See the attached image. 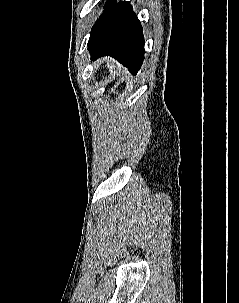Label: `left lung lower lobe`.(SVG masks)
I'll return each mask as SVG.
<instances>
[{"label":"left lung lower lobe","mask_w":239,"mask_h":303,"mask_svg":"<svg viewBox=\"0 0 239 303\" xmlns=\"http://www.w3.org/2000/svg\"><path fill=\"white\" fill-rule=\"evenodd\" d=\"M91 58L112 56L136 74L144 59L142 27L129 2L120 1L102 18L88 41Z\"/></svg>","instance_id":"0a47b994"}]
</instances>
